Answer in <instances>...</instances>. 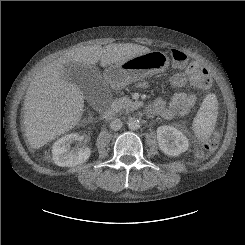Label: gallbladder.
<instances>
[{"mask_svg":"<svg viewBox=\"0 0 245 245\" xmlns=\"http://www.w3.org/2000/svg\"><path fill=\"white\" fill-rule=\"evenodd\" d=\"M69 82L75 84L87 102L96 110L103 108L110 100L108 89L98 69L84 64L70 63L65 67Z\"/></svg>","mask_w":245,"mask_h":245,"instance_id":"obj_1","label":"gallbladder"}]
</instances>
